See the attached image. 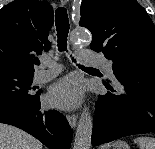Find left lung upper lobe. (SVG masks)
Instances as JSON below:
<instances>
[{"instance_id": "1", "label": "left lung upper lobe", "mask_w": 155, "mask_h": 149, "mask_svg": "<svg viewBox=\"0 0 155 149\" xmlns=\"http://www.w3.org/2000/svg\"><path fill=\"white\" fill-rule=\"evenodd\" d=\"M80 26L92 33L91 49L113 61V72L125 66H155V28L136 0H82Z\"/></svg>"}]
</instances>
